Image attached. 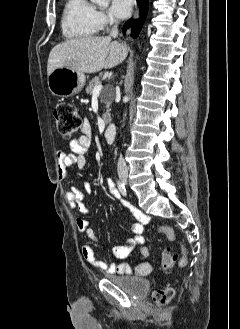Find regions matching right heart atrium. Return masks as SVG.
<instances>
[{"instance_id": "d8ad5b80", "label": "right heart atrium", "mask_w": 240, "mask_h": 329, "mask_svg": "<svg viewBox=\"0 0 240 329\" xmlns=\"http://www.w3.org/2000/svg\"><path fill=\"white\" fill-rule=\"evenodd\" d=\"M96 21L101 30L115 22L114 18L105 10H96Z\"/></svg>"}]
</instances>
